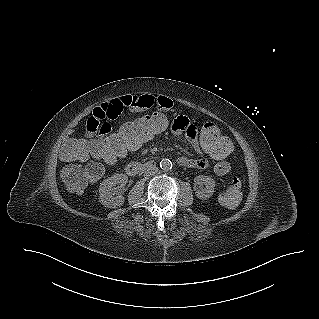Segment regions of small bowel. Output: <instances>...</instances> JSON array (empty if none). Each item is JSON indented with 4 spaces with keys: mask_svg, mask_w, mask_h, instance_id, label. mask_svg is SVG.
Instances as JSON below:
<instances>
[{
    "mask_svg": "<svg viewBox=\"0 0 319 319\" xmlns=\"http://www.w3.org/2000/svg\"><path fill=\"white\" fill-rule=\"evenodd\" d=\"M172 107V100L163 96H123L119 98L102 99V103L98 105L96 109L93 110L91 116L88 117L85 124V131L91 138H100L110 132L112 122L114 119L122 117L125 109L145 110L158 108L168 110ZM169 128L170 130H174L175 135H182L183 140H189L192 151L197 156V158L181 156L179 158L181 165L195 169L211 168L219 177L228 174L230 168L225 161L214 158L216 162L212 163L203 157L208 153L199 143L196 121H192L191 115H173L172 121L169 123ZM191 135L194 136L191 137ZM88 157V152H86L84 159Z\"/></svg>",
    "mask_w": 319,
    "mask_h": 319,
    "instance_id": "small-bowel-1",
    "label": "small bowel"
}]
</instances>
